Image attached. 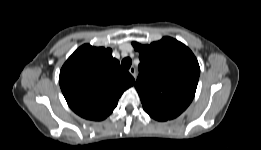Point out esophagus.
<instances>
[{"mask_svg":"<svg viewBox=\"0 0 261 150\" xmlns=\"http://www.w3.org/2000/svg\"><path fill=\"white\" fill-rule=\"evenodd\" d=\"M129 73H130L133 77H135V76H136V69H135V67H131V68L129 69Z\"/></svg>","mask_w":261,"mask_h":150,"instance_id":"obj_1","label":"esophagus"}]
</instances>
